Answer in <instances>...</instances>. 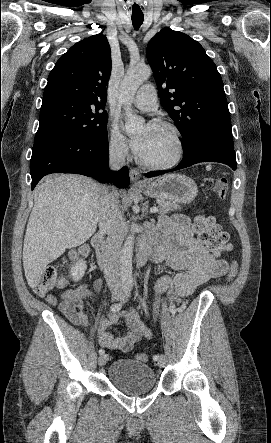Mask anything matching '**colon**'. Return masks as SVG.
Wrapping results in <instances>:
<instances>
[{"mask_svg":"<svg viewBox=\"0 0 271 443\" xmlns=\"http://www.w3.org/2000/svg\"><path fill=\"white\" fill-rule=\"evenodd\" d=\"M212 191L220 198L225 199L227 196V183L224 179L216 180L212 185ZM193 230L196 233L198 240L204 245L209 252L220 255L230 249L229 235L223 231L221 226L216 222L214 217L204 214H198L194 218ZM89 251L87 246H82L76 250L74 255H85ZM238 272L236 262H231L228 269L227 278L229 281L233 280ZM66 280L58 272L57 267L47 266L40 273L39 278L33 284L34 292L40 296H47L55 287L61 288L65 285ZM136 359L141 362L148 361V355L139 353Z\"/></svg>","mask_w":271,"mask_h":443,"instance_id":"obj_1","label":"colon"}]
</instances>
